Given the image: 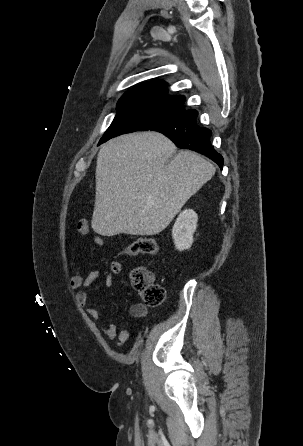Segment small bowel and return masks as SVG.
<instances>
[{
	"instance_id": "c3829d8e",
	"label": "small bowel",
	"mask_w": 303,
	"mask_h": 446,
	"mask_svg": "<svg viewBox=\"0 0 303 446\" xmlns=\"http://www.w3.org/2000/svg\"><path fill=\"white\" fill-rule=\"evenodd\" d=\"M90 231L89 223L86 220H80L77 224L76 233L79 237L86 236ZM94 243L97 246H103L104 240L101 236L96 235L93 238ZM72 277L70 279V287L74 290H78L77 300L80 306L86 307L89 301L88 288L98 280L99 272L91 271L87 276L81 275L76 267L74 260H71ZM122 271V264L119 261H113L110 265V272L105 278V287L110 289L114 283V277L120 274ZM85 312L92 319H100L102 313L96 308H85ZM130 316L138 319L145 318L148 314V308L142 303L132 304L129 308ZM100 331L103 336L108 339H117V346L126 344L130 339V332L127 328L118 329L114 323H110L106 327H101Z\"/></svg>"
}]
</instances>
